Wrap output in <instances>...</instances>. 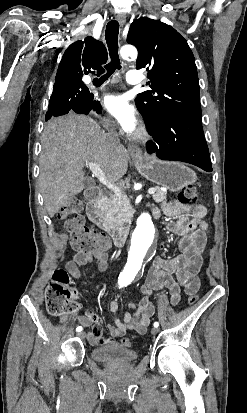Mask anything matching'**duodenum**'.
<instances>
[{
    "instance_id": "obj_1",
    "label": "duodenum",
    "mask_w": 247,
    "mask_h": 413,
    "mask_svg": "<svg viewBox=\"0 0 247 413\" xmlns=\"http://www.w3.org/2000/svg\"><path fill=\"white\" fill-rule=\"evenodd\" d=\"M105 197V189L100 186H94L86 191V198L88 200L87 216L95 226L104 230L112 238L115 245H122L124 233L110 226L104 220Z\"/></svg>"
}]
</instances>
